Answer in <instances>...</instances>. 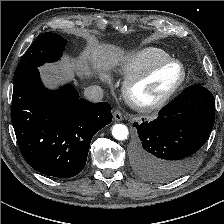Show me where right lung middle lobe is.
Segmentation results:
<instances>
[{
    "mask_svg": "<svg viewBox=\"0 0 224 224\" xmlns=\"http://www.w3.org/2000/svg\"><path fill=\"white\" fill-rule=\"evenodd\" d=\"M67 41L56 33L46 32L40 35L21 58L14 74V83L38 66L58 60Z\"/></svg>",
    "mask_w": 224,
    "mask_h": 224,
    "instance_id": "1",
    "label": "right lung middle lobe"
}]
</instances>
